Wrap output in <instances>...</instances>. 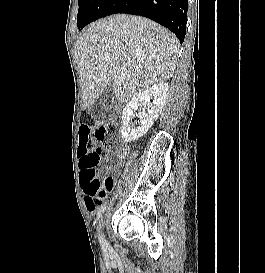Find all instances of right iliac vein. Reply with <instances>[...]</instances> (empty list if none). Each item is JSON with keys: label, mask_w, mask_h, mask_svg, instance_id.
Returning <instances> with one entry per match:
<instances>
[{"label": "right iliac vein", "mask_w": 265, "mask_h": 273, "mask_svg": "<svg viewBox=\"0 0 265 273\" xmlns=\"http://www.w3.org/2000/svg\"><path fill=\"white\" fill-rule=\"evenodd\" d=\"M102 225H103V220H101V222L99 224L100 229L102 228Z\"/></svg>", "instance_id": "obj_1"}]
</instances>
